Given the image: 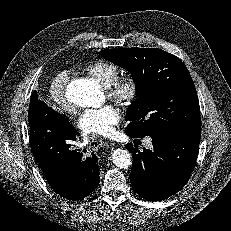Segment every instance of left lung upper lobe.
<instances>
[{
	"label": "left lung upper lobe",
	"mask_w": 231,
	"mask_h": 231,
	"mask_svg": "<svg viewBox=\"0 0 231 231\" xmlns=\"http://www.w3.org/2000/svg\"><path fill=\"white\" fill-rule=\"evenodd\" d=\"M100 54L127 69L137 83L125 132L142 138L201 129L196 88L178 57L158 48L106 49Z\"/></svg>",
	"instance_id": "1"
}]
</instances>
